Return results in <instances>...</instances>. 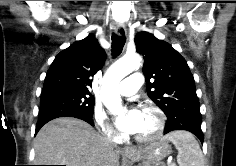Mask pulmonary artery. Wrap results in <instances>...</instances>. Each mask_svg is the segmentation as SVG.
Returning <instances> with one entry per match:
<instances>
[{
  "mask_svg": "<svg viewBox=\"0 0 236 166\" xmlns=\"http://www.w3.org/2000/svg\"><path fill=\"white\" fill-rule=\"evenodd\" d=\"M143 76L141 72L132 73L119 84L118 92L121 96H131L141 87Z\"/></svg>",
  "mask_w": 236,
  "mask_h": 166,
  "instance_id": "e3ab8cb5",
  "label": "pulmonary artery"
}]
</instances>
